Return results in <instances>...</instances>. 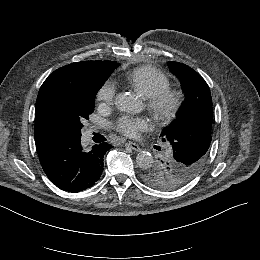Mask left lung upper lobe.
I'll return each instance as SVG.
<instances>
[{
    "mask_svg": "<svg viewBox=\"0 0 260 260\" xmlns=\"http://www.w3.org/2000/svg\"><path fill=\"white\" fill-rule=\"evenodd\" d=\"M171 72L181 81L186 98L176 118L161 136L172 145V153L142 171L148 185L174 190L188 183L202 168L211 143L212 98L205 80L189 66L168 62Z\"/></svg>",
    "mask_w": 260,
    "mask_h": 260,
    "instance_id": "5c2ea615",
    "label": "left lung upper lobe"
}]
</instances>
